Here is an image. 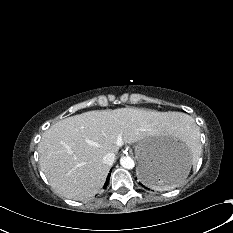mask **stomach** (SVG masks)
<instances>
[{
    "instance_id": "obj_1",
    "label": "stomach",
    "mask_w": 233,
    "mask_h": 233,
    "mask_svg": "<svg viewBox=\"0 0 233 233\" xmlns=\"http://www.w3.org/2000/svg\"><path fill=\"white\" fill-rule=\"evenodd\" d=\"M139 179L153 187H168L189 173L191 155L165 135H149L135 146ZM179 181V180H178Z\"/></svg>"
}]
</instances>
